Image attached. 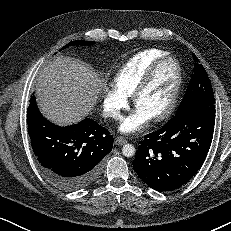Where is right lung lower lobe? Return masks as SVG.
Here are the masks:
<instances>
[{
  "label": "right lung lower lobe",
  "instance_id": "obj_1",
  "mask_svg": "<svg viewBox=\"0 0 231 231\" xmlns=\"http://www.w3.org/2000/svg\"><path fill=\"white\" fill-rule=\"evenodd\" d=\"M28 134L33 152L46 178L56 187L73 192L98 179L103 158L112 150L114 138L92 119L60 127L45 119L36 99L27 109Z\"/></svg>",
  "mask_w": 231,
  "mask_h": 231
}]
</instances>
